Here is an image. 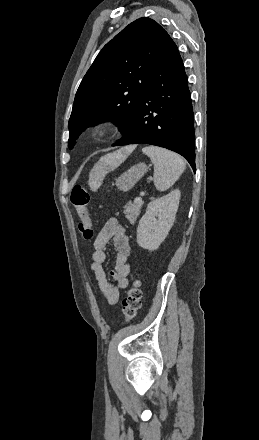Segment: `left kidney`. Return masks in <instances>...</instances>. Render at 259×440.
<instances>
[{"mask_svg":"<svg viewBox=\"0 0 259 440\" xmlns=\"http://www.w3.org/2000/svg\"><path fill=\"white\" fill-rule=\"evenodd\" d=\"M180 191H171L167 195L152 200L137 227L138 245L149 251H155L165 240L178 210Z\"/></svg>","mask_w":259,"mask_h":440,"instance_id":"left-kidney-1","label":"left kidney"}]
</instances>
